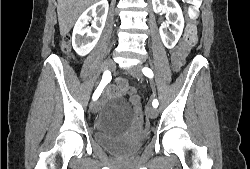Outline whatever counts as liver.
Wrapping results in <instances>:
<instances>
[{"mask_svg": "<svg viewBox=\"0 0 250 169\" xmlns=\"http://www.w3.org/2000/svg\"><path fill=\"white\" fill-rule=\"evenodd\" d=\"M57 14L61 36H66L82 10L96 0H57Z\"/></svg>", "mask_w": 250, "mask_h": 169, "instance_id": "6515ba94", "label": "liver"}]
</instances>
